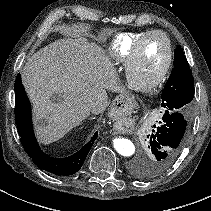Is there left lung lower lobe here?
Wrapping results in <instances>:
<instances>
[{"label":"left lung lower lobe","instance_id":"obj_1","mask_svg":"<svg viewBox=\"0 0 211 211\" xmlns=\"http://www.w3.org/2000/svg\"><path fill=\"white\" fill-rule=\"evenodd\" d=\"M189 122V114L182 111H166L147 135L146 155L154 159L153 170L170 165L180 153ZM152 170V171H153Z\"/></svg>","mask_w":211,"mask_h":211}]
</instances>
